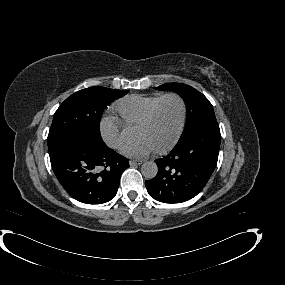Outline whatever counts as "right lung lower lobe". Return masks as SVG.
<instances>
[{"mask_svg":"<svg viewBox=\"0 0 285 285\" xmlns=\"http://www.w3.org/2000/svg\"><path fill=\"white\" fill-rule=\"evenodd\" d=\"M57 179L74 199L86 204H102L113 199L120 177L129 167L128 159L105 144L94 146L69 139L49 151Z\"/></svg>","mask_w":285,"mask_h":285,"instance_id":"98d812e1","label":"right lung lower lobe"}]
</instances>
